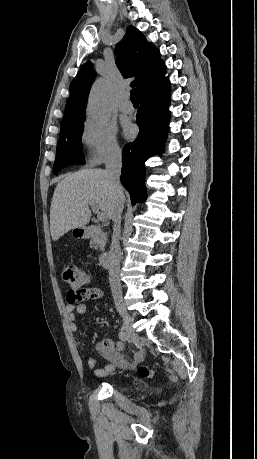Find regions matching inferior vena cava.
<instances>
[{
	"label": "inferior vena cava",
	"instance_id": "602c4592",
	"mask_svg": "<svg viewBox=\"0 0 257 459\" xmlns=\"http://www.w3.org/2000/svg\"><path fill=\"white\" fill-rule=\"evenodd\" d=\"M122 168V152L120 149H115L110 152L106 160V173L109 178L111 189L114 193V208L112 213V221L114 223L110 251L108 254L109 263V282L117 307L122 306V290L120 283V258L121 250L119 245L121 214L124 207L123 189L120 183V174Z\"/></svg>",
	"mask_w": 257,
	"mask_h": 459
}]
</instances>
